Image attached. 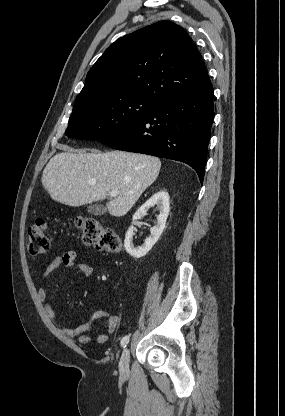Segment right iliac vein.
Masks as SVG:
<instances>
[{"instance_id": "right-iliac-vein-1", "label": "right iliac vein", "mask_w": 285, "mask_h": 416, "mask_svg": "<svg viewBox=\"0 0 285 416\" xmlns=\"http://www.w3.org/2000/svg\"><path fill=\"white\" fill-rule=\"evenodd\" d=\"M129 359L130 351L128 347H125L119 362V369L122 375H128L129 373Z\"/></svg>"}]
</instances>
